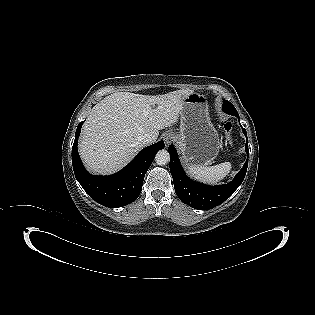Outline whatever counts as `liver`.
Instances as JSON below:
<instances>
[{
	"label": "liver",
	"mask_w": 315,
	"mask_h": 315,
	"mask_svg": "<svg viewBox=\"0 0 315 315\" xmlns=\"http://www.w3.org/2000/svg\"><path fill=\"white\" fill-rule=\"evenodd\" d=\"M193 90H177L164 95L117 92L105 97L90 111L82 128L79 153L87 169L111 174L122 169L145 146L146 134L178 121L184 99Z\"/></svg>",
	"instance_id": "liver-1"
}]
</instances>
